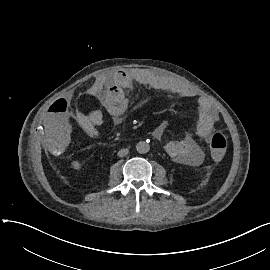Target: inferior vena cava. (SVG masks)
I'll return each mask as SVG.
<instances>
[{"label": "inferior vena cava", "instance_id": "602c4592", "mask_svg": "<svg viewBox=\"0 0 270 270\" xmlns=\"http://www.w3.org/2000/svg\"><path fill=\"white\" fill-rule=\"evenodd\" d=\"M128 153H129V150H128V149H121V150H119V152H118V156H119V157H124V156H126Z\"/></svg>", "mask_w": 270, "mask_h": 270}]
</instances>
